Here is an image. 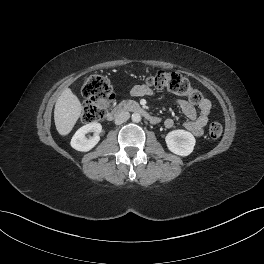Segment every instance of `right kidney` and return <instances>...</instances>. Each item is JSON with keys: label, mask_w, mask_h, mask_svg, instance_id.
Returning a JSON list of instances; mask_svg holds the SVG:
<instances>
[{"label": "right kidney", "mask_w": 264, "mask_h": 264, "mask_svg": "<svg viewBox=\"0 0 264 264\" xmlns=\"http://www.w3.org/2000/svg\"><path fill=\"white\" fill-rule=\"evenodd\" d=\"M102 131L100 123L92 122L84 125L76 131L71 139V147L75 150L87 152L91 150L100 140L99 134ZM93 132L94 136L90 139L86 138V134Z\"/></svg>", "instance_id": "right-kidney-1"}]
</instances>
